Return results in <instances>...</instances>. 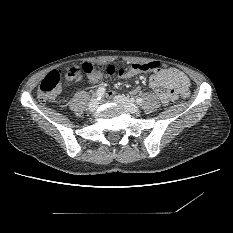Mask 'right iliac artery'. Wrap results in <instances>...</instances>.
<instances>
[{"instance_id": "1", "label": "right iliac artery", "mask_w": 233, "mask_h": 233, "mask_svg": "<svg viewBox=\"0 0 233 233\" xmlns=\"http://www.w3.org/2000/svg\"><path fill=\"white\" fill-rule=\"evenodd\" d=\"M105 93V88L104 87H99L96 91V97L98 100H100Z\"/></svg>"}]
</instances>
